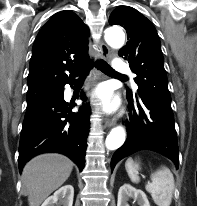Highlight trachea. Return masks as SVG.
Masks as SVG:
<instances>
[{
	"instance_id": "trachea-1",
	"label": "trachea",
	"mask_w": 197,
	"mask_h": 206,
	"mask_svg": "<svg viewBox=\"0 0 197 206\" xmlns=\"http://www.w3.org/2000/svg\"><path fill=\"white\" fill-rule=\"evenodd\" d=\"M92 63L89 64L88 68L86 71L83 72V74H86L87 71L92 67ZM100 71H102L103 73L107 74V75H113V76H120V77H125L124 75L116 72L114 69H112V67L105 62L104 60H100L95 62L94 64ZM84 76V75H82Z\"/></svg>"
}]
</instances>
